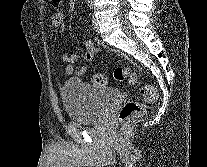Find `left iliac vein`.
<instances>
[{
    "mask_svg": "<svg viewBox=\"0 0 207 167\" xmlns=\"http://www.w3.org/2000/svg\"><path fill=\"white\" fill-rule=\"evenodd\" d=\"M92 23H93V27H94V29H95L96 31H98V30H99V26H98V22H97L95 16H92Z\"/></svg>",
    "mask_w": 207,
    "mask_h": 167,
    "instance_id": "4c4485c4",
    "label": "left iliac vein"
}]
</instances>
